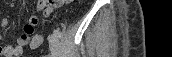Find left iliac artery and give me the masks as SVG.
<instances>
[{"label": "left iliac artery", "mask_w": 172, "mask_h": 57, "mask_svg": "<svg viewBox=\"0 0 172 57\" xmlns=\"http://www.w3.org/2000/svg\"><path fill=\"white\" fill-rule=\"evenodd\" d=\"M54 33H56L59 38L61 37V32L59 29H55Z\"/></svg>", "instance_id": "obj_1"}]
</instances>
